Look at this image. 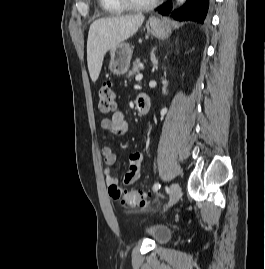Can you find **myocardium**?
Segmentation results:
<instances>
[{"mask_svg": "<svg viewBox=\"0 0 265 269\" xmlns=\"http://www.w3.org/2000/svg\"><path fill=\"white\" fill-rule=\"evenodd\" d=\"M123 6L130 10H145L154 7L162 0H148L146 2H137L135 0H118Z\"/></svg>", "mask_w": 265, "mask_h": 269, "instance_id": "1", "label": "myocardium"}]
</instances>
